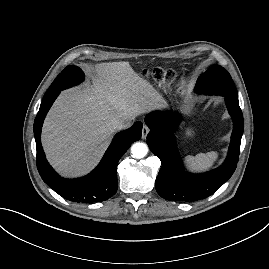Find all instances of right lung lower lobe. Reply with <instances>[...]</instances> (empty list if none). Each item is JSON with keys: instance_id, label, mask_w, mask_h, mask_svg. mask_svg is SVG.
<instances>
[{"instance_id": "1", "label": "right lung lower lobe", "mask_w": 269, "mask_h": 269, "mask_svg": "<svg viewBox=\"0 0 269 269\" xmlns=\"http://www.w3.org/2000/svg\"><path fill=\"white\" fill-rule=\"evenodd\" d=\"M59 93L43 98L34 121L39 174L46 184L67 200L79 203L105 201L117 191V163L131 143L141 138L142 123L137 121L129 129L116 134L101 162L90 174L77 179H64L47 162L40 140L44 118Z\"/></svg>"}]
</instances>
